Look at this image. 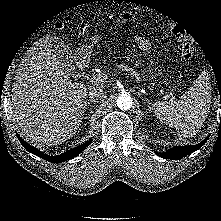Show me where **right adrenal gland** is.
<instances>
[{
  "label": "right adrenal gland",
  "instance_id": "2a0ac1e0",
  "mask_svg": "<svg viewBox=\"0 0 221 221\" xmlns=\"http://www.w3.org/2000/svg\"><path fill=\"white\" fill-rule=\"evenodd\" d=\"M95 102H96V101H95V100H92V99L86 100L85 106H84V111H87V106H88V104H90V103H95ZM92 113H93V110L91 109L90 112H89V116H86L85 118H89ZM85 115H86V114H85Z\"/></svg>",
  "mask_w": 221,
  "mask_h": 221
}]
</instances>
